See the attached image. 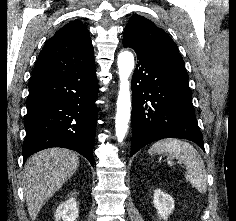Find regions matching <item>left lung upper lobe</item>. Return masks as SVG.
<instances>
[{"label": "left lung upper lobe", "instance_id": "obj_1", "mask_svg": "<svg viewBox=\"0 0 236 221\" xmlns=\"http://www.w3.org/2000/svg\"><path fill=\"white\" fill-rule=\"evenodd\" d=\"M123 40L129 41L136 48L150 55L185 68L175 42L164 30L143 16L133 15L129 19L124 30Z\"/></svg>", "mask_w": 236, "mask_h": 221}]
</instances>
